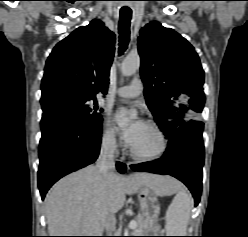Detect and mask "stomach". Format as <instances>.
I'll use <instances>...</instances> for the list:
<instances>
[{"instance_id":"0dacf381","label":"stomach","mask_w":248,"mask_h":237,"mask_svg":"<svg viewBox=\"0 0 248 237\" xmlns=\"http://www.w3.org/2000/svg\"><path fill=\"white\" fill-rule=\"evenodd\" d=\"M175 189V184H169L165 186L159 193L155 192L153 189L147 186H143L142 188H140L138 198L140 203L141 214L145 220L149 221V226L146 228V232L148 234H151L150 232L154 230L156 221L160 213V204L158 201V196L169 195L173 193Z\"/></svg>"}]
</instances>
